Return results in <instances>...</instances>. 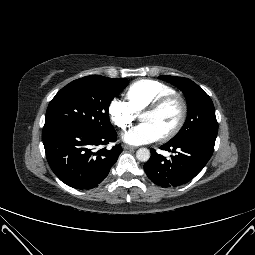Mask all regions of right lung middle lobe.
<instances>
[{
    "label": "right lung middle lobe",
    "mask_w": 255,
    "mask_h": 255,
    "mask_svg": "<svg viewBox=\"0 0 255 255\" xmlns=\"http://www.w3.org/2000/svg\"><path fill=\"white\" fill-rule=\"evenodd\" d=\"M127 80L86 76L62 88L48 105L44 128L78 126L102 134L113 130L108 109Z\"/></svg>",
    "instance_id": "obj_1"
}]
</instances>
